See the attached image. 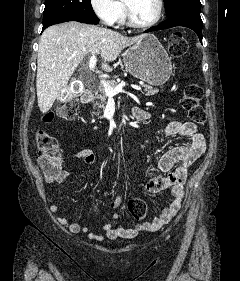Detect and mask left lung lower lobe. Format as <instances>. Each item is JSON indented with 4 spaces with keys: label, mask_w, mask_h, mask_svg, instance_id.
<instances>
[{
    "label": "left lung lower lobe",
    "mask_w": 240,
    "mask_h": 281,
    "mask_svg": "<svg viewBox=\"0 0 240 281\" xmlns=\"http://www.w3.org/2000/svg\"><path fill=\"white\" fill-rule=\"evenodd\" d=\"M175 26H184L192 29L196 32L200 41H202L203 22L200 16V10L194 8H185L175 12L169 16L167 20L163 21L158 26L151 27L146 30L145 33Z\"/></svg>",
    "instance_id": "left-lung-lower-lobe-1"
}]
</instances>
